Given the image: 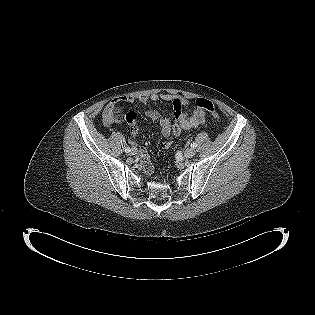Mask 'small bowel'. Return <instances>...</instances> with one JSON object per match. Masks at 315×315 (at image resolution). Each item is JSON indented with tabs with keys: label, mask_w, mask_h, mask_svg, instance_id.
Segmentation results:
<instances>
[{
	"label": "small bowel",
	"mask_w": 315,
	"mask_h": 315,
	"mask_svg": "<svg viewBox=\"0 0 315 315\" xmlns=\"http://www.w3.org/2000/svg\"><path fill=\"white\" fill-rule=\"evenodd\" d=\"M165 101L170 102L173 106V121L167 117L161 116L157 110L149 109L145 111L146 116L151 121H158L161 127V133L163 136L168 137L171 134L180 135L184 130L196 128L200 124H203L206 119L205 110L196 107L194 110L189 111L190 102L188 99L171 93H153L150 95L133 97L122 96L118 99L110 102L103 113L104 122L110 124L111 122V110L118 102H138L141 105H145L148 102ZM137 133V127L132 129V134ZM171 143L167 142L165 147H170ZM139 161L144 168V172L150 175L153 172V164L145 152L139 154Z\"/></svg>",
	"instance_id": "1"
}]
</instances>
